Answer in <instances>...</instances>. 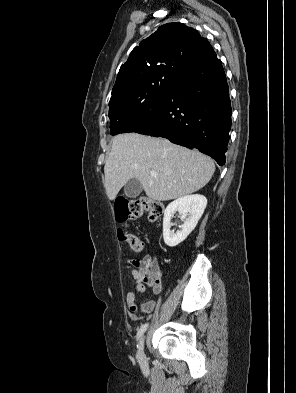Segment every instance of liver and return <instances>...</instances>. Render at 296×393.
<instances>
[{
  "mask_svg": "<svg viewBox=\"0 0 296 393\" xmlns=\"http://www.w3.org/2000/svg\"><path fill=\"white\" fill-rule=\"evenodd\" d=\"M214 171L213 160L198 151L163 138L125 133L112 140L104 166V186L108 198L114 200L120 189L135 178L150 199L168 201L203 188ZM151 172L157 176L152 177Z\"/></svg>",
  "mask_w": 296,
  "mask_h": 393,
  "instance_id": "obj_1",
  "label": "liver"
}]
</instances>
